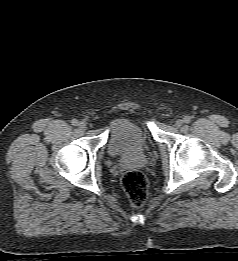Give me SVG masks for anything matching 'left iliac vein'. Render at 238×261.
<instances>
[{"mask_svg": "<svg viewBox=\"0 0 238 261\" xmlns=\"http://www.w3.org/2000/svg\"><path fill=\"white\" fill-rule=\"evenodd\" d=\"M182 125H183V120H181V119L176 120V122L174 124V126L176 128H180Z\"/></svg>", "mask_w": 238, "mask_h": 261, "instance_id": "1", "label": "left iliac vein"}]
</instances>
